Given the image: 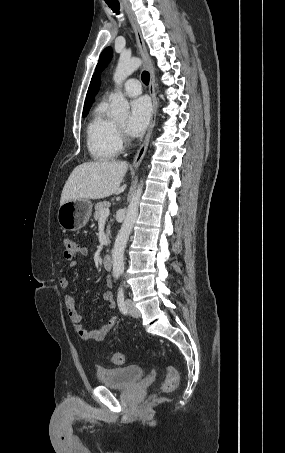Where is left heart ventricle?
<instances>
[{"label":"left heart ventricle","mask_w":285,"mask_h":453,"mask_svg":"<svg viewBox=\"0 0 285 453\" xmlns=\"http://www.w3.org/2000/svg\"><path fill=\"white\" fill-rule=\"evenodd\" d=\"M119 124H120L121 126H123V125L125 124V121H124V120H121V121L119 122Z\"/></svg>","instance_id":"left-heart-ventricle-1"}]
</instances>
